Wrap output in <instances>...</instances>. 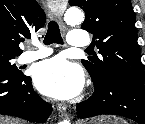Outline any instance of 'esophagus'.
<instances>
[{"instance_id": "1", "label": "esophagus", "mask_w": 145, "mask_h": 124, "mask_svg": "<svg viewBox=\"0 0 145 124\" xmlns=\"http://www.w3.org/2000/svg\"><path fill=\"white\" fill-rule=\"evenodd\" d=\"M46 5H47V10H48V15L53 18L54 20H56L59 24V26L61 27V29H65V25L63 23L62 20V15L64 12V9L60 8V7H56V8H52L50 7L52 2L50 0H46L45 1ZM59 114L63 117V116H67L66 110L67 107L65 105H58L57 107Z\"/></svg>"}]
</instances>
